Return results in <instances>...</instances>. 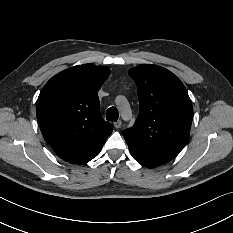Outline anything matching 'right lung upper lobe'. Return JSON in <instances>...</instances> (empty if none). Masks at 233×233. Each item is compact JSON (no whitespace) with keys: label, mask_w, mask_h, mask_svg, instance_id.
<instances>
[{"label":"right lung upper lobe","mask_w":233,"mask_h":233,"mask_svg":"<svg viewBox=\"0 0 233 233\" xmlns=\"http://www.w3.org/2000/svg\"><path fill=\"white\" fill-rule=\"evenodd\" d=\"M109 68L77 65L52 77L43 87L36 115L45 141L60 158L82 165L95 158L112 133L99 110L98 91Z\"/></svg>","instance_id":"right-lung-upper-lobe-1"}]
</instances>
